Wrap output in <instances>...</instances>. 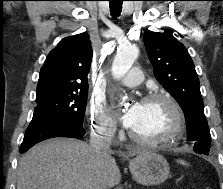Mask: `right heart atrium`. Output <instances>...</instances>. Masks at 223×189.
<instances>
[{
	"label": "right heart atrium",
	"instance_id": "d8ad5b80",
	"mask_svg": "<svg viewBox=\"0 0 223 189\" xmlns=\"http://www.w3.org/2000/svg\"><path fill=\"white\" fill-rule=\"evenodd\" d=\"M91 129L100 137L110 138L116 131V121L107 106L98 99H92L87 107Z\"/></svg>",
	"mask_w": 223,
	"mask_h": 189
}]
</instances>
